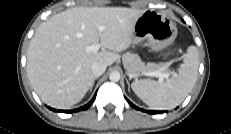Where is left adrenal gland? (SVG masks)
<instances>
[{
	"mask_svg": "<svg viewBox=\"0 0 231 134\" xmlns=\"http://www.w3.org/2000/svg\"><path fill=\"white\" fill-rule=\"evenodd\" d=\"M126 81H127V84H128V90L130 91V83H129L128 80H126Z\"/></svg>",
	"mask_w": 231,
	"mask_h": 134,
	"instance_id": "left-adrenal-gland-1",
	"label": "left adrenal gland"
}]
</instances>
